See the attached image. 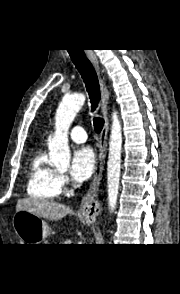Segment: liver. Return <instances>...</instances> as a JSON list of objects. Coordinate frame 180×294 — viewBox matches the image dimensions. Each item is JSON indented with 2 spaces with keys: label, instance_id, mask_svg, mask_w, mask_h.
<instances>
[{
  "label": "liver",
  "instance_id": "liver-1",
  "mask_svg": "<svg viewBox=\"0 0 180 294\" xmlns=\"http://www.w3.org/2000/svg\"><path fill=\"white\" fill-rule=\"evenodd\" d=\"M20 210L51 220H59L72 213L70 207L66 205L36 198L19 199L16 204V212Z\"/></svg>",
  "mask_w": 180,
  "mask_h": 294
}]
</instances>
